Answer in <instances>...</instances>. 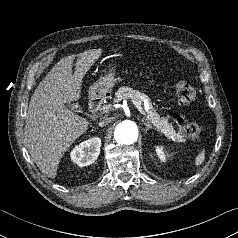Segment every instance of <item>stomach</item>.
Segmentation results:
<instances>
[{
  "label": "stomach",
  "instance_id": "0dacf381",
  "mask_svg": "<svg viewBox=\"0 0 238 238\" xmlns=\"http://www.w3.org/2000/svg\"><path fill=\"white\" fill-rule=\"evenodd\" d=\"M116 63L111 64L109 72L100 77L89 89V95L91 97H102L109 93L117 83L116 78Z\"/></svg>",
  "mask_w": 238,
  "mask_h": 238
}]
</instances>
